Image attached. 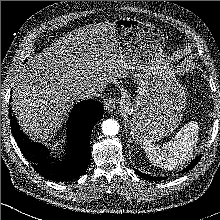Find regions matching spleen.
Returning <instances> with one entry per match:
<instances>
[{"mask_svg": "<svg viewBox=\"0 0 220 220\" xmlns=\"http://www.w3.org/2000/svg\"><path fill=\"white\" fill-rule=\"evenodd\" d=\"M198 135V123L190 121L177 132L174 139L162 146L146 142L144 150L151 163L167 170H173L183 166L191 159Z\"/></svg>", "mask_w": 220, "mask_h": 220, "instance_id": "obj_1", "label": "spleen"}]
</instances>
